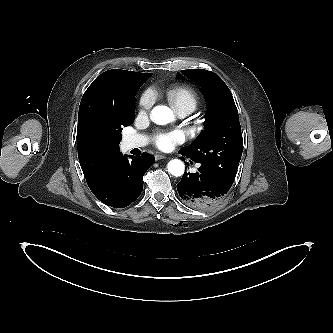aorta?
<instances>
[{
    "mask_svg": "<svg viewBox=\"0 0 333 333\" xmlns=\"http://www.w3.org/2000/svg\"><path fill=\"white\" fill-rule=\"evenodd\" d=\"M150 118L156 124L165 125L174 119V115L169 107L158 105L152 109ZM167 168L168 172L175 177L181 176L185 170L184 163L178 159L171 160L168 163Z\"/></svg>",
    "mask_w": 333,
    "mask_h": 333,
    "instance_id": "1",
    "label": "aorta"
}]
</instances>
